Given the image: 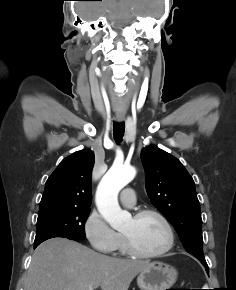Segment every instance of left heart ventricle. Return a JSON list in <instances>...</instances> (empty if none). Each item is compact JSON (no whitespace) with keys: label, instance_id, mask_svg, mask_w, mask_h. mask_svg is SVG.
<instances>
[{"label":"left heart ventricle","instance_id":"1","mask_svg":"<svg viewBox=\"0 0 236 290\" xmlns=\"http://www.w3.org/2000/svg\"><path fill=\"white\" fill-rule=\"evenodd\" d=\"M122 234L128 236L133 245L145 253L161 250L168 239L164 225L152 215L140 219L132 217L123 228Z\"/></svg>","mask_w":236,"mask_h":290}]
</instances>
